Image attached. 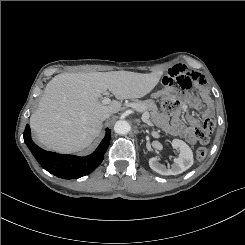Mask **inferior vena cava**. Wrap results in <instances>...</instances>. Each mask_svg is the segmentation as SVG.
I'll list each match as a JSON object with an SVG mask.
<instances>
[{"instance_id": "602c4592", "label": "inferior vena cava", "mask_w": 245, "mask_h": 245, "mask_svg": "<svg viewBox=\"0 0 245 245\" xmlns=\"http://www.w3.org/2000/svg\"><path fill=\"white\" fill-rule=\"evenodd\" d=\"M110 116H111V114H105V115H103V116L101 117V120L103 121V120L109 118Z\"/></svg>"}]
</instances>
